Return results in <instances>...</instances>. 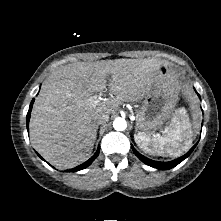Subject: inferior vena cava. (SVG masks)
Here are the masks:
<instances>
[{"label": "inferior vena cava", "mask_w": 221, "mask_h": 221, "mask_svg": "<svg viewBox=\"0 0 221 221\" xmlns=\"http://www.w3.org/2000/svg\"><path fill=\"white\" fill-rule=\"evenodd\" d=\"M108 120H109V115H107V114L98 113L94 117V122H95L96 126L104 124V123L108 122Z\"/></svg>", "instance_id": "602c4592"}]
</instances>
